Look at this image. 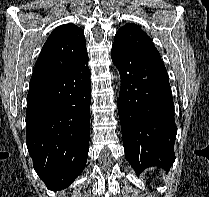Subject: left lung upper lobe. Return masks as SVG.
<instances>
[{"instance_id":"obj_1","label":"left lung upper lobe","mask_w":209,"mask_h":197,"mask_svg":"<svg viewBox=\"0 0 209 197\" xmlns=\"http://www.w3.org/2000/svg\"><path fill=\"white\" fill-rule=\"evenodd\" d=\"M113 45L161 59L150 37L138 25L133 23L125 24L117 31Z\"/></svg>"}]
</instances>
